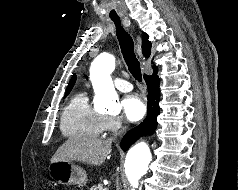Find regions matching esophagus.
Segmentation results:
<instances>
[{
	"instance_id": "34e87169",
	"label": "esophagus",
	"mask_w": 238,
	"mask_h": 190,
	"mask_svg": "<svg viewBox=\"0 0 238 190\" xmlns=\"http://www.w3.org/2000/svg\"><path fill=\"white\" fill-rule=\"evenodd\" d=\"M136 53L142 59L143 56H142V51H141V39H140V37H137Z\"/></svg>"
}]
</instances>
